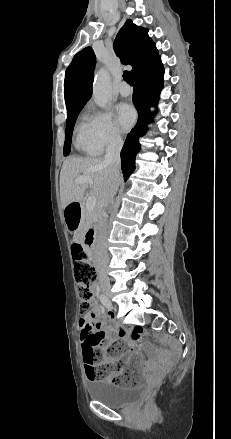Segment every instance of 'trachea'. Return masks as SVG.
Instances as JSON below:
<instances>
[{
	"instance_id": "3493384b",
	"label": "trachea",
	"mask_w": 231,
	"mask_h": 439,
	"mask_svg": "<svg viewBox=\"0 0 231 439\" xmlns=\"http://www.w3.org/2000/svg\"><path fill=\"white\" fill-rule=\"evenodd\" d=\"M123 79L129 84V85H133V78L132 75L129 71H124L123 73Z\"/></svg>"
}]
</instances>
